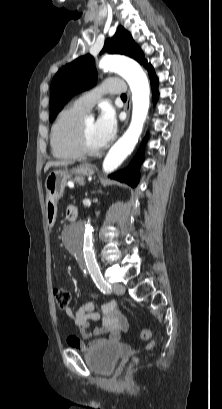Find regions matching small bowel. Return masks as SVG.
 I'll return each mask as SVG.
<instances>
[{
  "label": "small bowel",
  "instance_id": "small-bowel-1",
  "mask_svg": "<svg viewBox=\"0 0 222 409\" xmlns=\"http://www.w3.org/2000/svg\"><path fill=\"white\" fill-rule=\"evenodd\" d=\"M73 209L76 208L74 206L67 208V217ZM66 313L79 328L83 339L103 335L88 344L78 338L71 337L69 344L78 351H88L95 346L108 342L116 343L120 340L121 335L128 329L127 318L118 303L114 300L102 305L99 310H96L95 300H90L76 310L70 307L67 308ZM98 321H100V324L91 329V322Z\"/></svg>",
  "mask_w": 222,
  "mask_h": 409
}]
</instances>
